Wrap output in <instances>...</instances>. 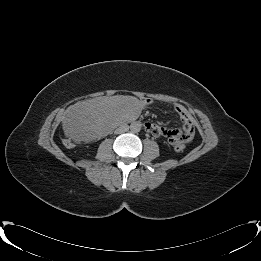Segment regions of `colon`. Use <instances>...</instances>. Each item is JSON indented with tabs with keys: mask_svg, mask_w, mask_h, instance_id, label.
<instances>
[{
	"mask_svg": "<svg viewBox=\"0 0 261 261\" xmlns=\"http://www.w3.org/2000/svg\"><path fill=\"white\" fill-rule=\"evenodd\" d=\"M169 141L174 146L176 151H182L185 148V139L182 135L180 136H170Z\"/></svg>",
	"mask_w": 261,
	"mask_h": 261,
	"instance_id": "obj_1",
	"label": "colon"
}]
</instances>
